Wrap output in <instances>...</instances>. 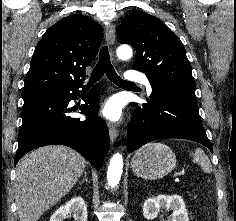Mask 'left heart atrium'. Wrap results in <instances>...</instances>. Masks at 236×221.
Segmentation results:
<instances>
[{
	"instance_id": "39dd6f15",
	"label": "left heart atrium",
	"mask_w": 236,
	"mask_h": 221,
	"mask_svg": "<svg viewBox=\"0 0 236 221\" xmlns=\"http://www.w3.org/2000/svg\"><path fill=\"white\" fill-rule=\"evenodd\" d=\"M101 114L112 122H118L122 118V105L115 98L109 99L103 105Z\"/></svg>"
}]
</instances>
